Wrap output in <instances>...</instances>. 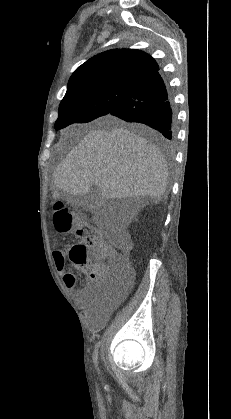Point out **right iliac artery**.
I'll return each mask as SVG.
<instances>
[{"label":"right iliac artery","mask_w":231,"mask_h":419,"mask_svg":"<svg viewBox=\"0 0 231 419\" xmlns=\"http://www.w3.org/2000/svg\"><path fill=\"white\" fill-rule=\"evenodd\" d=\"M100 343H97L96 348L94 350V355H93V360L95 365L97 366V358H98V348H99Z\"/></svg>","instance_id":"82829eb1"}]
</instances>
